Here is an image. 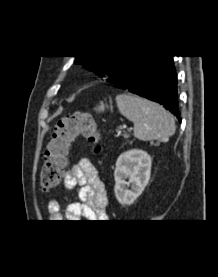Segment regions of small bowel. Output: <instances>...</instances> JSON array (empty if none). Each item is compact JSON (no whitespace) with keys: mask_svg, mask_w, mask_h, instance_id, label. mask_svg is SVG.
<instances>
[{"mask_svg":"<svg viewBox=\"0 0 218 277\" xmlns=\"http://www.w3.org/2000/svg\"><path fill=\"white\" fill-rule=\"evenodd\" d=\"M64 188L70 190L79 186L77 202L67 205L62 213L61 204L52 199L48 202V213L51 220H103L106 216L107 192L103 182L92 161L88 158H80L78 162L69 169L63 180Z\"/></svg>","mask_w":218,"mask_h":277,"instance_id":"1","label":"small bowel"}]
</instances>
